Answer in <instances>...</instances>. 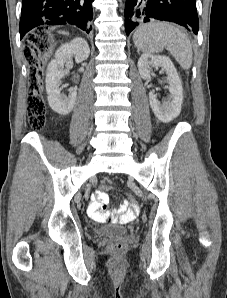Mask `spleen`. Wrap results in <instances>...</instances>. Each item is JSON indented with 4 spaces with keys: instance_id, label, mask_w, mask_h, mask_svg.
I'll return each mask as SVG.
<instances>
[{
    "instance_id": "obj_1",
    "label": "spleen",
    "mask_w": 227,
    "mask_h": 298,
    "mask_svg": "<svg viewBox=\"0 0 227 298\" xmlns=\"http://www.w3.org/2000/svg\"><path fill=\"white\" fill-rule=\"evenodd\" d=\"M138 50L159 53L167 49L183 69L192 64V45L187 35L167 22H150L140 26L133 35Z\"/></svg>"
}]
</instances>
